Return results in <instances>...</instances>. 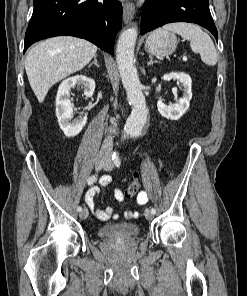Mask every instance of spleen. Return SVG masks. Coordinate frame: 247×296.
<instances>
[{
    "label": "spleen",
    "instance_id": "obj_1",
    "mask_svg": "<svg viewBox=\"0 0 247 296\" xmlns=\"http://www.w3.org/2000/svg\"><path fill=\"white\" fill-rule=\"evenodd\" d=\"M164 30L174 32L180 35L184 40L190 41V47L193 52L199 53L201 60L214 66L218 60V54L210 36L202 29L192 23L176 22L163 26Z\"/></svg>",
    "mask_w": 247,
    "mask_h": 296
}]
</instances>
